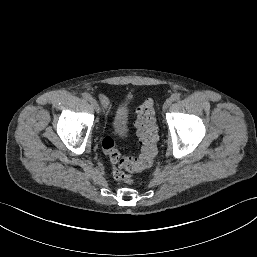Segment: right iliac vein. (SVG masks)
<instances>
[{
    "mask_svg": "<svg viewBox=\"0 0 257 257\" xmlns=\"http://www.w3.org/2000/svg\"><path fill=\"white\" fill-rule=\"evenodd\" d=\"M90 103H91V105L93 106L94 110L97 111V112H99V109H100V108H99L98 102H97L95 99L92 98V99L90 100Z\"/></svg>",
    "mask_w": 257,
    "mask_h": 257,
    "instance_id": "obj_1",
    "label": "right iliac vein"
}]
</instances>
